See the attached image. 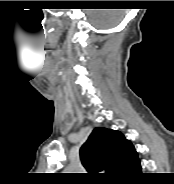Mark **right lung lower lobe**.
Segmentation results:
<instances>
[{"instance_id": "1", "label": "right lung lower lobe", "mask_w": 174, "mask_h": 184, "mask_svg": "<svg viewBox=\"0 0 174 184\" xmlns=\"http://www.w3.org/2000/svg\"><path fill=\"white\" fill-rule=\"evenodd\" d=\"M142 176L141 165L138 158L133 160L117 179L118 183L128 184Z\"/></svg>"}]
</instances>
